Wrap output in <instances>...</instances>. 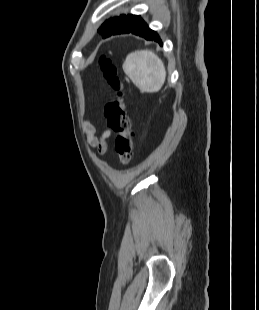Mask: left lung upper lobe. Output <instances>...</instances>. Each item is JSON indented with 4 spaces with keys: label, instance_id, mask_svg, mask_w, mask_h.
I'll list each match as a JSON object with an SVG mask.
<instances>
[{
    "label": "left lung upper lobe",
    "instance_id": "1",
    "mask_svg": "<svg viewBox=\"0 0 259 310\" xmlns=\"http://www.w3.org/2000/svg\"><path fill=\"white\" fill-rule=\"evenodd\" d=\"M124 17L125 15H120L119 17H113L109 20H106V22L101 25L98 31L103 35V37H106L117 27V25Z\"/></svg>",
    "mask_w": 259,
    "mask_h": 310
}]
</instances>
